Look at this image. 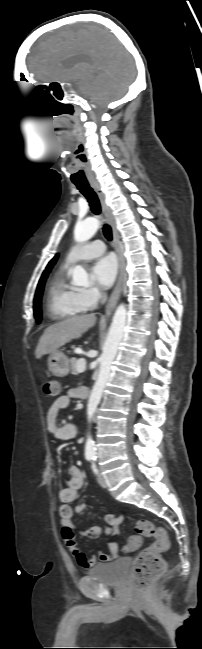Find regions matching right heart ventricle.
Wrapping results in <instances>:
<instances>
[{
  "label": "right heart ventricle",
  "mask_w": 202,
  "mask_h": 649,
  "mask_svg": "<svg viewBox=\"0 0 202 649\" xmlns=\"http://www.w3.org/2000/svg\"><path fill=\"white\" fill-rule=\"evenodd\" d=\"M68 265H63L52 276L47 292V311L54 319H67L87 308L80 299V290L67 278Z\"/></svg>",
  "instance_id": "e07e8e85"
}]
</instances>
